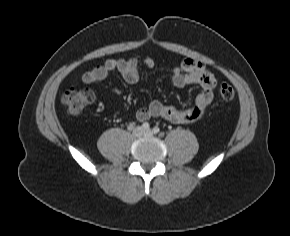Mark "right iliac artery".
I'll return each instance as SVG.
<instances>
[{
	"instance_id": "1",
	"label": "right iliac artery",
	"mask_w": 290,
	"mask_h": 236,
	"mask_svg": "<svg viewBox=\"0 0 290 236\" xmlns=\"http://www.w3.org/2000/svg\"><path fill=\"white\" fill-rule=\"evenodd\" d=\"M142 128L145 129V130H148L150 128V124L148 122H144L142 124Z\"/></svg>"
}]
</instances>
